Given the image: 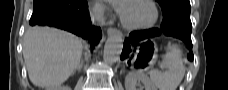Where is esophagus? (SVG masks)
I'll list each match as a JSON object with an SVG mask.
<instances>
[{
    "label": "esophagus",
    "instance_id": "obj_1",
    "mask_svg": "<svg viewBox=\"0 0 228 90\" xmlns=\"http://www.w3.org/2000/svg\"><path fill=\"white\" fill-rule=\"evenodd\" d=\"M107 34L109 35V36H114V35H121V32L119 31V30H117V29H115V28H108V30H107Z\"/></svg>",
    "mask_w": 228,
    "mask_h": 90
}]
</instances>
